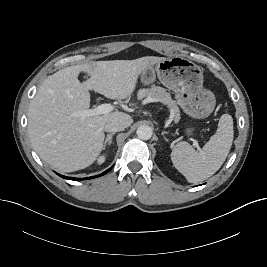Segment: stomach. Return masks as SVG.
I'll use <instances>...</instances> for the list:
<instances>
[{"mask_svg":"<svg viewBox=\"0 0 267 267\" xmlns=\"http://www.w3.org/2000/svg\"><path fill=\"white\" fill-rule=\"evenodd\" d=\"M156 77L165 87L174 91L177 103L190 117L206 118L212 113L215 96L203 88V71L191 60L181 56L164 58L140 74L144 85L151 84ZM192 132V128L186 129L188 135Z\"/></svg>","mask_w":267,"mask_h":267,"instance_id":"stomach-1","label":"stomach"}]
</instances>
